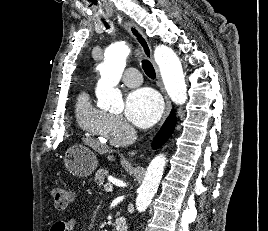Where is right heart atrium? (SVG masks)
I'll return each instance as SVG.
<instances>
[{
    "mask_svg": "<svg viewBox=\"0 0 268 231\" xmlns=\"http://www.w3.org/2000/svg\"><path fill=\"white\" fill-rule=\"evenodd\" d=\"M129 130V125L121 116L109 115L104 128L105 140L110 143H120Z\"/></svg>",
    "mask_w": 268,
    "mask_h": 231,
    "instance_id": "1",
    "label": "right heart atrium"
}]
</instances>
